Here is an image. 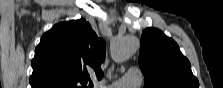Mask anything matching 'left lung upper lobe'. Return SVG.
<instances>
[{
    "label": "left lung upper lobe",
    "instance_id": "5c2ea615",
    "mask_svg": "<svg viewBox=\"0 0 223 88\" xmlns=\"http://www.w3.org/2000/svg\"><path fill=\"white\" fill-rule=\"evenodd\" d=\"M139 66L144 88H198L191 64L177 43L161 30L147 28L141 36Z\"/></svg>",
    "mask_w": 223,
    "mask_h": 88
}]
</instances>
